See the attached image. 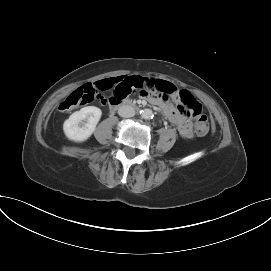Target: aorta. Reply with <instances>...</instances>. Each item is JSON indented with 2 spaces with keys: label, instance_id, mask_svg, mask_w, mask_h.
Instances as JSON below:
<instances>
[{
  "label": "aorta",
  "instance_id": "1",
  "mask_svg": "<svg viewBox=\"0 0 271 271\" xmlns=\"http://www.w3.org/2000/svg\"><path fill=\"white\" fill-rule=\"evenodd\" d=\"M141 116L144 118V119H150L153 117V112L151 109H144L141 111Z\"/></svg>",
  "mask_w": 271,
  "mask_h": 271
}]
</instances>
